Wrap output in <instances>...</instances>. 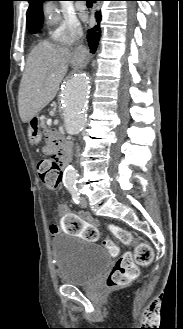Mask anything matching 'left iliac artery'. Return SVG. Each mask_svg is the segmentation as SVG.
<instances>
[{
    "mask_svg": "<svg viewBox=\"0 0 183 329\" xmlns=\"http://www.w3.org/2000/svg\"><path fill=\"white\" fill-rule=\"evenodd\" d=\"M70 193H71V195H72V199H73V201L76 203V204H79V200H80V194H79V192H78V190H77V188H71L70 189Z\"/></svg>",
    "mask_w": 183,
    "mask_h": 329,
    "instance_id": "44dca946",
    "label": "left iliac artery"
}]
</instances>
